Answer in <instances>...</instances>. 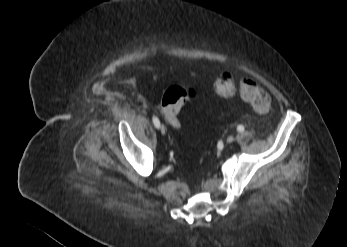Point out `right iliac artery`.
<instances>
[{"mask_svg": "<svg viewBox=\"0 0 347 247\" xmlns=\"http://www.w3.org/2000/svg\"><path fill=\"white\" fill-rule=\"evenodd\" d=\"M152 121L156 128L160 127V121L156 116H153Z\"/></svg>", "mask_w": 347, "mask_h": 247, "instance_id": "right-iliac-artery-1", "label": "right iliac artery"}]
</instances>
